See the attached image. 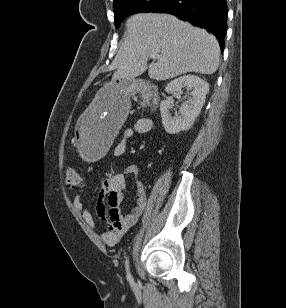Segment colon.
Listing matches in <instances>:
<instances>
[{
    "label": "colon",
    "instance_id": "1",
    "mask_svg": "<svg viewBox=\"0 0 286 308\" xmlns=\"http://www.w3.org/2000/svg\"><path fill=\"white\" fill-rule=\"evenodd\" d=\"M66 185L71 188H79L83 186V179L81 175L73 168H67L65 171Z\"/></svg>",
    "mask_w": 286,
    "mask_h": 308
}]
</instances>
